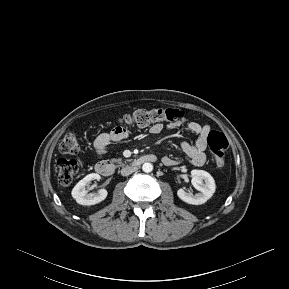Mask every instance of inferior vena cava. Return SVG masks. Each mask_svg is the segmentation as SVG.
I'll return each mask as SVG.
<instances>
[{"instance_id":"obj_1","label":"inferior vena cava","mask_w":289,"mask_h":289,"mask_svg":"<svg viewBox=\"0 0 289 289\" xmlns=\"http://www.w3.org/2000/svg\"><path fill=\"white\" fill-rule=\"evenodd\" d=\"M136 170H137V167L127 166V167L122 168L121 175L122 176H128V175L132 174L133 172H135Z\"/></svg>"}]
</instances>
